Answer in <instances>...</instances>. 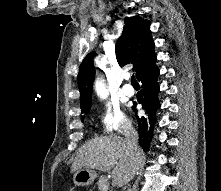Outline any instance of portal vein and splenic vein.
Here are the masks:
<instances>
[{
	"mask_svg": "<svg viewBox=\"0 0 221 191\" xmlns=\"http://www.w3.org/2000/svg\"><path fill=\"white\" fill-rule=\"evenodd\" d=\"M104 189H105V191H106V190L108 189V185H107V186H105V188H104Z\"/></svg>",
	"mask_w": 221,
	"mask_h": 191,
	"instance_id": "1",
	"label": "portal vein and splenic vein"
}]
</instances>
